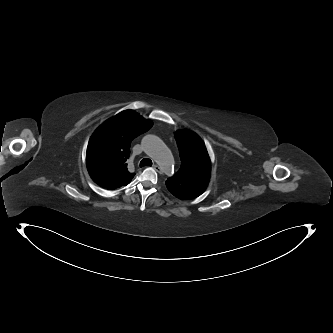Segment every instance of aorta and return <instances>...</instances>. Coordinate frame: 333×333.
Listing matches in <instances>:
<instances>
[{"label":"aorta","instance_id":"1","mask_svg":"<svg viewBox=\"0 0 333 333\" xmlns=\"http://www.w3.org/2000/svg\"><path fill=\"white\" fill-rule=\"evenodd\" d=\"M142 146L145 153L150 156L163 172H170L174 159L170 149L155 135H146L142 139Z\"/></svg>","mask_w":333,"mask_h":333}]
</instances>
